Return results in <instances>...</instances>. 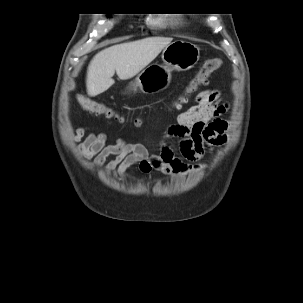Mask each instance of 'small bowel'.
<instances>
[{
  "label": "small bowel",
  "instance_id": "c3829d8e",
  "mask_svg": "<svg viewBox=\"0 0 303 303\" xmlns=\"http://www.w3.org/2000/svg\"><path fill=\"white\" fill-rule=\"evenodd\" d=\"M195 105L178 114L176 123L166 131L160 142V152L150 154L141 143H129L119 138L106 144L105 133H89L85 127L77 128L71 137L79 142L81 157L91 161L94 168L102 167L106 174L117 172L123 176L131 167L137 166L141 174L153 170L176 179L191 170L183 159L200 160L213 147L224 143L226 125L215 123L222 112L220 94L213 89L201 91L194 98ZM168 139H177L182 158L177 157ZM113 159L108 160L109 157Z\"/></svg>",
  "mask_w": 303,
  "mask_h": 303
}]
</instances>
